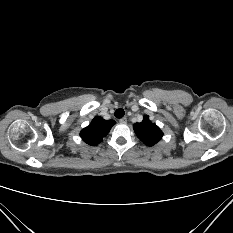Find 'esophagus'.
Returning <instances> with one entry per match:
<instances>
[{
	"label": "esophagus",
	"instance_id": "1",
	"mask_svg": "<svg viewBox=\"0 0 233 233\" xmlns=\"http://www.w3.org/2000/svg\"><path fill=\"white\" fill-rule=\"evenodd\" d=\"M119 122H120L121 124H125V123L127 122V118H126V117H123V118L119 119Z\"/></svg>",
	"mask_w": 233,
	"mask_h": 233
}]
</instances>
